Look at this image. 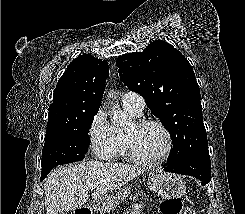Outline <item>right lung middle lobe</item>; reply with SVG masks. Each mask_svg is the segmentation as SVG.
Returning <instances> with one entry per match:
<instances>
[{
	"label": "right lung middle lobe",
	"mask_w": 245,
	"mask_h": 214,
	"mask_svg": "<svg viewBox=\"0 0 245 214\" xmlns=\"http://www.w3.org/2000/svg\"><path fill=\"white\" fill-rule=\"evenodd\" d=\"M98 111L84 114L73 127L46 134L41 177L56 166L81 161L90 144L88 132Z\"/></svg>",
	"instance_id": "1"
}]
</instances>
